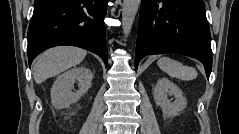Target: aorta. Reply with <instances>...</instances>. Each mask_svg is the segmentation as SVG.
Returning <instances> with one entry per match:
<instances>
[{"label": "aorta", "mask_w": 239, "mask_h": 134, "mask_svg": "<svg viewBox=\"0 0 239 134\" xmlns=\"http://www.w3.org/2000/svg\"><path fill=\"white\" fill-rule=\"evenodd\" d=\"M140 3L141 0H123L122 29L125 36H128L131 32Z\"/></svg>", "instance_id": "obj_1"}]
</instances>
